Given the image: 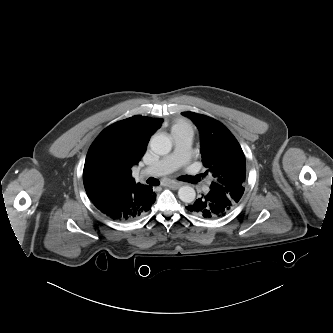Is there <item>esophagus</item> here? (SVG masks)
<instances>
[{
  "mask_svg": "<svg viewBox=\"0 0 333 333\" xmlns=\"http://www.w3.org/2000/svg\"><path fill=\"white\" fill-rule=\"evenodd\" d=\"M164 185L172 189H178L182 184L180 182L167 181Z\"/></svg>",
  "mask_w": 333,
  "mask_h": 333,
  "instance_id": "obj_1",
  "label": "esophagus"
}]
</instances>
